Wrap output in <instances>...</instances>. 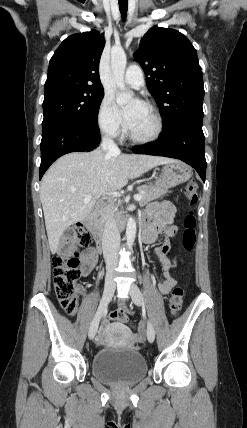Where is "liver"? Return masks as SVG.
<instances>
[{
	"label": "liver",
	"mask_w": 247,
	"mask_h": 428,
	"mask_svg": "<svg viewBox=\"0 0 247 428\" xmlns=\"http://www.w3.org/2000/svg\"><path fill=\"white\" fill-rule=\"evenodd\" d=\"M176 161L150 155H110L100 149L59 158L45 173L40 187L51 253L58 252L64 231L85 219L101 194L117 191L127 185L129 179ZM86 195L92 196L88 203H84Z\"/></svg>",
	"instance_id": "liver-1"
}]
</instances>
